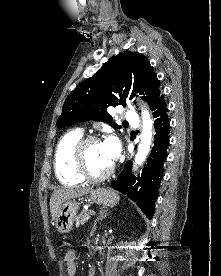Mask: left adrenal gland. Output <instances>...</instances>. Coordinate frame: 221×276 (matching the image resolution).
<instances>
[{"mask_svg": "<svg viewBox=\"0 0 221 276\" xmlns=\"http://www.w3.org/2000/svg\"><path fill=\"white\" fill-rule=\"evenodd\" d=\"M108 213H107V210H102L99 212V216L97 217V219L94 221V225H93V228H92V231H91V236L94 234V232L96 231V225H97V222L99 220H102L104 219L105 217H107Z\"/></svg>", "mask_w": 221, "mask_h": 276, "instance_id": "left-adrenal-gland-1", "label": "left adrenal gland"}]
</instances>
